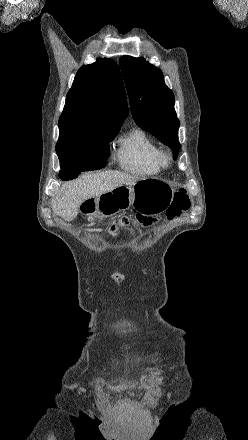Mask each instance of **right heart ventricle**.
Wrapping results in <instances>:
<instances>
[{
    "label": "right heart ventricle",
    "mask_w": 248,
    "mask_h": 440,
    "mask_svg": "<svg viewBox=\"0 0 248 440\" xmlns=\"http://www.w3.org/2000/svg\"><path fill=\"white\" fill-rule=\"evenodd\" d=\"M161 153L157 144L141 129H134L118 141L119 167L133 175L151 176L161 172Z\"/></svg>",
    "instance_id": "right-heart-ventricle-1"
}]
</instances>
